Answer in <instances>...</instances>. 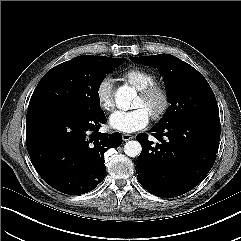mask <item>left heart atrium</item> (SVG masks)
Wrapping results in <instances>:
<instances>
[{
    "label": "left heart atrium",
    "instance_id": "1",
    "mask_svg": "<svg viewBox=\"0 0 241 241\" xmlns=\"http://www.w3.org/2000/svg\"><path fill=\"white\" fill-rule=\"evenodd\" d=\"M150 120L149 112L143 107L130 111H116L110 118V126L120 132L132 133L144 129Z\"/></svg>",
    "mask_w": 241,
    "mask_h": 241
}]
</instances>
